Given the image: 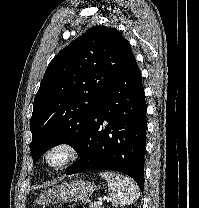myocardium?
<instances>
[{"instance_id": "f54148a6", "label": "myocardium", "mask_w": 199, "mask_h": 208, "mask_svg": "<svg viewBox=\"0 0 199 208\" xmlns=\"http://www.w3.org/2000/svg\"><path fill=\"white\" fill-rule=\"evenodd\" d=\"M56 150H63L65 152L66 157L58 163H52L49 160V157ZM79 157H80L79 146L75 142L69 139H58L52 142L46 147L43 153V161L45 165L48 168L55 171H59L67 168L68 166L75 163L79 159Z\"/></svg>"}]
</instances>
